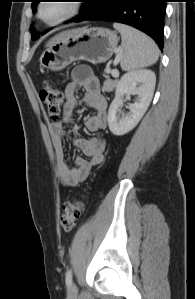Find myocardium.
Here are the masks:
<instances>
[{
	"instance_id": "f54148a6",
	"label": "myocardium",
	"mask_w": 195,
	"mask_h": 299,
	"mask_svg": "<svg viewBox=\"0 0 195 299\" xmlns=\"http://www.w3.org/2000/svg\"><path fill=\"white\" fill-rule=\"evenodd\" d=\"M63 1H65L67 4V11L62 17H60L59 19H57L56 21H53V22H48L42 17V15H41L42 8H43L44 4H46L48 1H41V3H39L38 7H37L38 19L41 22H43L45 25L54 27V26H59L65 22L73 19L74 17H76L78 15V13L80 12L81 3H79V1H77V0H63Z\"/></svg>"
}]
</instances>
